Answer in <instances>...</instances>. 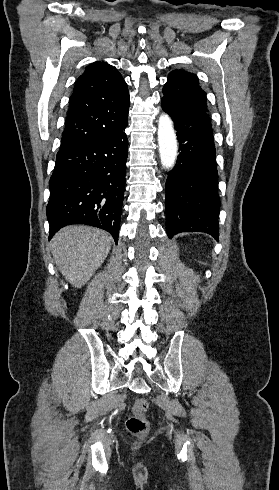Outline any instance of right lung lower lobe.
Wrapping results in <instances>:
<instances>
[{"instance_id":"1","label":"right lung lower lobe","mask_w":279,"mask_h":490,"mask_svg":"<svg viewBox=\"0 0 279 490\" xmlns=\"http://www.w3.org/2000/svg\"><path fill=\"white\" fill-rule=\"evenodd\" d=\"M120 129L81 147L57 153L46 208L49 240L62 227L85 224L118 242L128 139Z\"/></svg>"}]
</instances>
